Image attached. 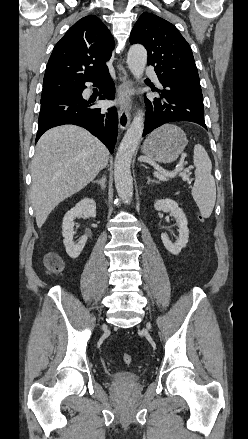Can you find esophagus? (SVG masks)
Wrapping results in <instances>:
<instances>
[{"instance_id":"esophagus-1","label":"esophagus","mask_w":248,"mask_h":439,"mask_svg":"<svg viewBox=\"0 0 248 439\" xmlns=\"http://www.w3.org/2000/svg\"><path fill=\"white\" fill-rule=\"evenodd\" d=\"M119 70L122 72V75L119 76L120 84L118 87V94L121 99V104L118 109V120L121 130H125L129 126L131 119L130 111L133 101L131 89L133 84L121 65L119 66Z\"/></svg>"}]
</instances>
